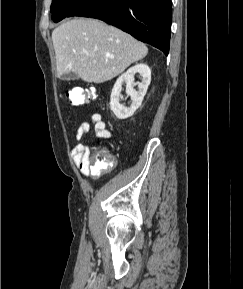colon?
Listing matches in <instances>:
<instances>
[{
  "instance_id": "1",
  "label": "colon",
  "mask_w": 243,
  "mask_h": 289,
  "mask_svg": "<svg viewBox=\"0 0 243 289\" xmlns=\"http://www.w3.org/2000/svg\"><path fill=\"white\" fill-rule=\"evenodd\" d=\"M72 106H80L96 98L94 89L74 88L66 93ZM115 165V159L105 150L96 151L90 158V166L94 173L108 172Z\"/></svg>"
}]
</instances>
